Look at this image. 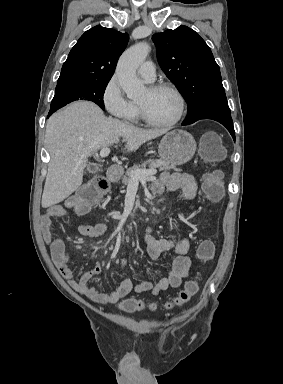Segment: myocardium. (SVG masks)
<instances>
[{"mask_svg":"<svg viewBox=\"0 0 283 384\" xmlns=\"http://www.w3.org/2000/svg\"><path fill=\"white\" fill-rule=\"evenodd\" d=\"M149 88L151 90H168L170 91L177 99L178 102V111L176 116L169 122L166 123H159L151 120L144 112L142 106L138 103V110H139V116L141 120L149 127L156 128V129H169L175 126L177 123L180 122L184 115L185 111V100L182 95V93L179 91L177 87L170 83L161 82L157 84L150 85Z\"/></svg>","mask_w":283,"mask_h":384,"instance_id":"myocardium-1","label":"myocardium"}]
</instances>
